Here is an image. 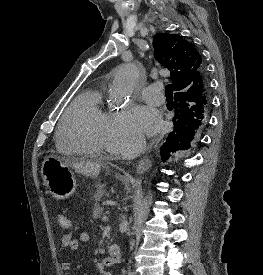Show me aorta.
<instances>
[{
	"instance_id": "obj_1",
	"label": "aorta",
	"mask_w": 263,
	"mask_h": 275,
	"mask_svg": "<svg viewBox=\"0 0 263 275\" xmlns=\"http://www.w3.org/2000/svg\"><path fill=\"white\" fill-rule=\"evenodd\" d=\"M140 71L135 64L120 65L115 72L110 86V99L116 103H122L129 99L139 80Z\"/></svg>"
}]
</instances>
